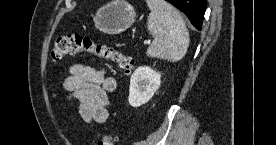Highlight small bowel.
<instances>
[{
	"instance_id": "c3829d8e",
	"label": "small bowel",
	"mask_w": 276,
	"mask_h": 145,
	"mask_svg": "<svg viewBox=\"0 0 276 145\" xmlns=\"http://www.w3.org/2000/svg\"><path fill=\"white\" fill-rule=\"evenodd\" d=\"M113 77L103 69L88 64H74L64 81L70 99L79 103L81 118L89 124H102L108 118V93L116 89Z\"/></svg>"
}]
</instances>
